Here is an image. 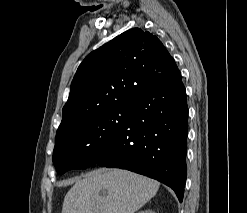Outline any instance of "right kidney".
Listing matches in <instances>:
<instances>
[{
  "instance_id": "obj_1",
  "label": "right kidney",
  "mask_w": 247,
  "mask_h": 213,
  "mask_svg": "<svg viewBox=\"0 0 247 213\" xmlns=\"http://www.w3.org/2000/svg\"><path fill=\"white\" fill-rule=\"evenodd\" d=\"M138 213H155V212L148 209V210H144V211H139Z\"/></svg>"
}]
</instances>
